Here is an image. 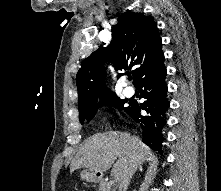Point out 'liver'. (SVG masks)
Instances as JSON below:
<instances>
[{
    "mask_svg": "<svg viewBox=\"0 0 221 191\" xmlns=\"http://www.w3.org/2000/svg\"><path fill=\"white\" fill-rule=\"evenodd\" d=\"M132 139L128 133L118 131L93 135L79 147L71 162L70 172L87 168L103 173L109 170L117 159L111 174L120 187L133 164L136 163L138 167L150 156L148 146L138 138L135 142Z\"/></svg>",
    "mask_w": 221,
    "mask_h": 191,
    "instance_id": "obj_1",
    "label": "liver"
}]
</instances>
